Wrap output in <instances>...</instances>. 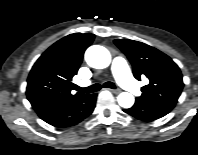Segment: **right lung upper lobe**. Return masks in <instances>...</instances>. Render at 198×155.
Masks as SVG:
<instances>
[{
	"label": "right lung upper lobe",
	"instance_id": "cb5924a9",
	"mask_svg": "<svg viewBox=\"0 0 198 155\" xmlns=\"http://www.w3.org/2000/svg\"><path fill=\"white\" fill-rule=\"evenodd\" d=\"M94 37L93 34L68 35L49 47L36 61L27 80L26 94L37 113L82 95L72 93L74 84L71 81Z\"/></svg>",
	"mask_w": 198,
	"mask_h": 155
}]
</instances>
